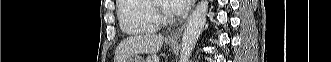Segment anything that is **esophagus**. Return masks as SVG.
<instances>
[{"label": "esophagus", "instance_id": "esophagus-1", "mask_svg": "<svg viewBox=\"0 0 331 62\" xmlns=\"http://www.w3.org/2000/svg\"><path fill=\"white\" fill-rule=\"evenodd\" d=\"M196 0H193V6L195 5ZM185 28V24H183L180 28H178L173 34L169 35L167 40L170 42H177Z\"/></svg>", "mask_w": 331, "mask_h": 62}]
</instances>
